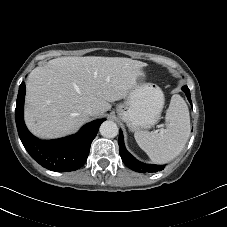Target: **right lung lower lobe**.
<instances>
[{
    "label": "right lung lower lobe",
    "mask_w": 227,
    "mask_h": 227,
    "mask_svg": "<svg viewBox=\"0 0 227 227\" xmlns=\"http://www.w3.org/2000/svg\"><path fill=\"white\" fill-rule=\"evenodd\" d=\"M25 83L19 87L15 120L19 137L29 155L41 166L56 172H69L79 169L87 160L90 146L105 119L84 125L72 136L55 140H40L32 135L23 118Z\"/></svg>",
    "instance_id": "98d812e1"
}]
</instances>
